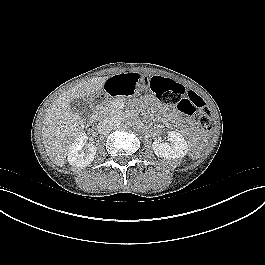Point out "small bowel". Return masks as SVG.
Returning <instances> with one entry per match:
<instances>
[{
	"instance_id": "c3829d8e",
	"label": "small bowel",
	"mask_w": 265,
	"mask_h": 265,
	"mask_svg": "<svg viewBox=\"0 0 265 265\" xmlns=\"http://www.w3.org/2000/svg\"><path fill=\"white\" fill-rule=\"evenodd\" d=\"M143 79L139 73H127L116 75L109 78L106 81V88L111 94H118L121 90L122 94L125 96H132L136 92V88L142 85ZM162 112L169 117H176L177 112L175 110H170L167 108H161Z\"/></svg>"
}]
</instances>
